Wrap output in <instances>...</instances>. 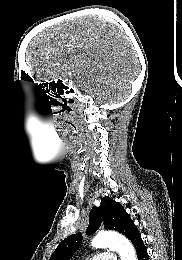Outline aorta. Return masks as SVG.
<instances>
[{
	"mask_svg": "<svg viewBox=\"0 0 182 260\" xmlns=\"http://www.w3.org/2000/svg\"><path fill=\"white\" fill-rule=\"evenodd\" d=\"M91 245L94 248H109L119 253L120 260H137L136 252L130 241L116 232L97 234Z\"/></svg>",
	"mask_w": 182,
	"mask_h": 260,
	"instance_id": "obj_1",
	"label": "aorta"
}]
</instances>
